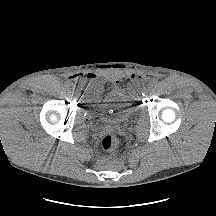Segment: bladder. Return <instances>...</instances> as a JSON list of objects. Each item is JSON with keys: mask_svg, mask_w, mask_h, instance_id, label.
<instances>
[{"mask_svg": "<svg viewBox=\"0 0 216 216\" xmlns=\"http://www.w3.org/2000/svg\"><path fill=\"white\" fill-rule=\"evenodd\" d=\"M83 94L85 100L82 111L90 119L116 123L134 115L137 110L131 99L121 90L100 88L93 91L88 88Z\"/></svg>", "mask_w": 216, "mask_h": 216, "instance_id": "obj_1", "label": "bladder"}]
</instances>
